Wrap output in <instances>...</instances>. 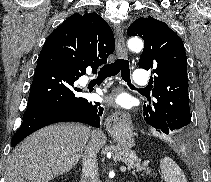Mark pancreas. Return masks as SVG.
I'll list each match as a JSON object with an SVG mask.
<instances>
[{
    "instance_id": "cf45deb5",
    "label": "pancreas",
    "mask_w": 211,
    "mask_h": 182,
    "mask_svg": "<svg viewBox=\"0 0 211 182\" xmlns=\"http://www.w3.org/2000/svg\"><path fill=\"white\" fill-rule=\"evenodd\" d=\"M107 150L112 152V158L115 162H123L125 163L129 168L136 169L137 172L147 170L146 173H150V170L145 168L146 164H143V166L140 165V159L136 156V154L130 150L125 149L120 146H110L107 148ZM135 174V171L133 172Z\"/></svg>"
}]
</instances>
